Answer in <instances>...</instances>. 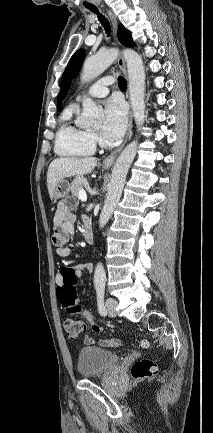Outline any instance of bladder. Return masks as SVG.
Masks as SVG:
<instances>
[{"mask_svg":"<svg viewBox=\"0 0 213 433\" xmlns=\"http://www.w3.org/2000/svg\"><path fill=\"white\" fill-rule=\"evenodd\" d=\"M119 361L120 356L114 351L86 346L78 353L77 370L83 378L99 377L110 372Z\"/></svg>","mask_w":213,"mask_h":433,"instance_id":"1","label":"bladder"}]
</instances>
